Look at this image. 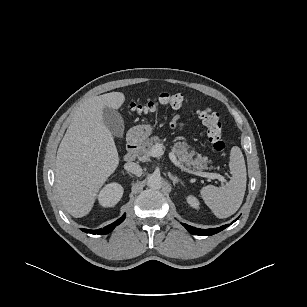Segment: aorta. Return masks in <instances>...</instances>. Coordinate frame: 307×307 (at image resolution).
Returning <instances> with one entry per match:
<instances>
[{
  "mask_svg": "<svg viewBox=\"0 0 307 307\" xmlns=\"http://www.w3.org/2000/svg\"><path fill=\"white\" fill-rule=\"evenodd\" d=\"M147 186L150 189H160L162 187V178L158 174H151L147 178Z\"/></svg>",
  "mask_w": 307,
  "mask_h": 307,
  "instance_id": "1",
  "label": "aorta"
}]
</instances>
